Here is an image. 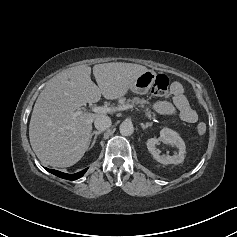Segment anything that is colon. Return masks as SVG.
<instances>
[{
  "mask_svg": "<svg viewBox=\"0 0 237 237\" xmlns=\"http://www.w3.org/2000/svg\"><path fill=\"white\" fill-rule=\"evenodd\" d=\"M168 92H169V79L167 78V76L163 74L157 75L154 79V83L152 86V93L157 96L165 97L168 95ZM206 129H207L206 124L203 122L197 125V132L200 135L205 134Z\"/></svg>",
  "mask_w": 237,
  "mask_h": 237,
  "instance_id": "obj_1",
  "label": "colon"
}]
</instances>
